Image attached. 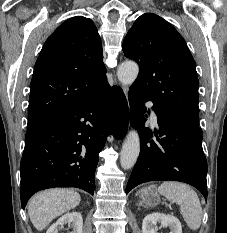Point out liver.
<instances>
[{
	"label": "liver",
	"instance_id": "6515ba94",
	"mask_svg": "<svg viewBox=\"0 0 227 233\" xmlns=\"http://www.w3.org/2000/svg\"><path fill=\"white\" fill-rule=\"evenodd\" d=\"M79 193L70 189H49L34 195L28 202V214L33 226L42 231L58 216L80 203Z\"/></svg>",
	"mask_w": 227,
	"mask_h": 233
}]
</instances>
